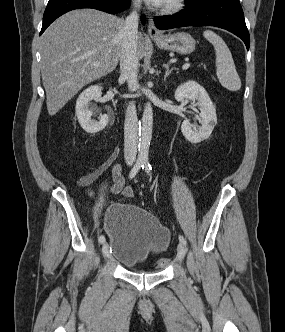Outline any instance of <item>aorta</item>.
<instances>
[{
	"label": "aorta",
	"mask_w": 285,
	"mask_h": 332,
	"mask_svg": "<svg viewBox=\"0 0 285 332\" xmlns=\"http://www.w3.org/2000/svg\"><path fill=\"white\" fill-rule=\"evenodd\" d=\"M153 128V110L151 104L148 102L145 105L143 116L141 133L139 138V158L143 160L148 159L149 146L152 138Z\"/></svg>",
	"instance_id": "1"
}]
</instances>
